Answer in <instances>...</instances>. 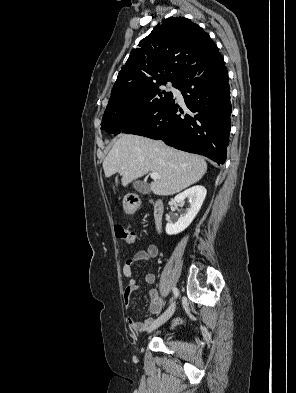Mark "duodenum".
<instances>
[{
	"label": "duodenum",
	"instance_id": "1",
	"mask_svg": "<svg viewBox=\"0 0 296 393\" xmlns=\"http://www.w3.org/2000/svg\"><path fill=\"white\" fill-rule=\"evenodd\" d=\"M128 206L132 209L135 210L137 205H138V199L137 197L130 195L126 198ZM162 215H163V204L161 201H157L154 205L153 209V216H154V223L157 228L160 227L161 220H162Z\"/></svg>",
	"mask_w": 296,
	"mask_h": 393
}]
</instances>
